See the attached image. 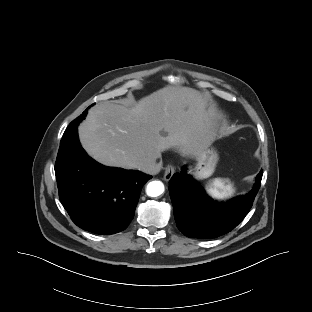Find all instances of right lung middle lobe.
<instances>
[{
    "label": "right lung middle lobe",
    "instance_id": "dd1d6c3e",
    "mask_svg": "<svg viewBox=\"0 0 312 312\" xmlns=\"http://www.w3.org/2000/svg\"><path fill=\"white\" fill-rule=\"evenodd\" d=\"M86 114H87V109L79 117H77L74 121L70 123V125L68 126V128L66 129L64 133V136L60 142V145L64 144L65 140L71 135L72 129L78 126V124L84 119Z\"/></svg>",
    "mask_w": 312,
    "mask_h": 312
}]
</instances>
